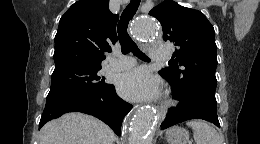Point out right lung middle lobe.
Masks as SVG:
<instances>
[{
  "instance_id": "dd1d6c3e",
  "label": "right lung middle lobe",
  "mask_w": 260,
  "mask_h": 144,
  "mask_svg": "<svg viewBox=\"0 0 260 144\" xmlns=\"http://www.w3.org/2000/svg\"><path fill=\"white\" fill-rule=\"evenodd\" d=\"M101 65H68L55 69L52 74L51 88L47 97L67 94H94L103 92L112 84L98 75Z\"/></svg>"
}]
</instances>
